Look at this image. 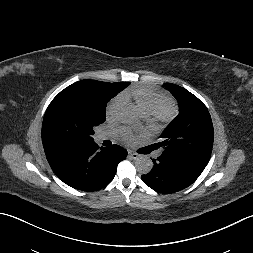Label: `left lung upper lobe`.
<instances>
[{"mask_svg":"<svg viewBox=\"0 0 253 253\" xmlns=\"http://www.w3.org/2000/svg\"><path fill=\"white\" fill-rule=\"evenodd\" d=\"M164 86L178 100L179 115L161 134L162 154L205 168L212 152L214 131L206 106L188 90L171 83Z\"/></svg>","mask_w":253,"mask_h":253,"instance_id":"obj_1","label":"left lung upper lobe"}]
</instances>
